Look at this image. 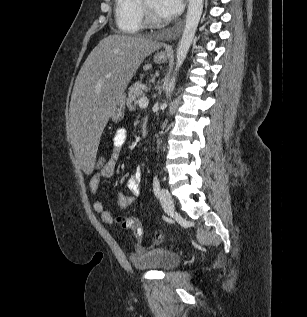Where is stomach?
I'll list each match as a JSON object with an SVG mask.
<instances>
[{
	"instance_id": "1",
	"label": "stomach",
	"mask_w": 307,
	"mask_h": 317,
	"mask_svg": "<svg viewBox=\"0 0 307 317\" xmlns=\"http://www.w3.org/2000/svg\"><path fill=\"white\" fill-rule=\"evenodd\" d=\"M167 60V56L162 53H158L154 56V61L156 63H163ZM124 109H125V96L122 95L116 103L115 110L113 114L111 115V118L114 122H119L124 117Z\"/></svg>"
}]
</instances>
